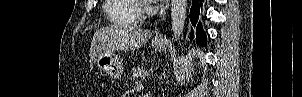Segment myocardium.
I'll return each mask as SVG.
<instances>
[{
  "label": "myocardium",
  "instance_id": "obj_1",
  "mask_svg": "<svg viewBox=\"0 0 302 97\" xmlns=\"http://www.w3.org/2000/svg\"><path fill=\"white\" fill-rule=\"evenodd\" d=\"M137 5L139 6L140 10H142V11L151 9V7L143 0H138Z\"/></svg>",
  "mask_w": 302,
  "mask_h": 97
}]
</instances>
